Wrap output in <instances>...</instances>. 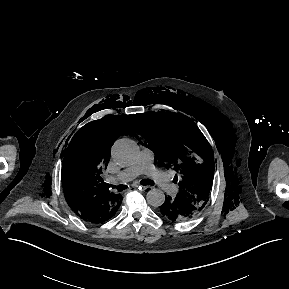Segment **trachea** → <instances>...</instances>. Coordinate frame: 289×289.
Returning <instances> with one entry per match:
<instances>
[{
	"instance_id": "3493384b",
	"label": "trachea",
	"mask_w": 289,
	"mask_h": 289,
	"mask_svg": "<svg viewBox=\"0 0 289 289\" xmlns=\"http://www.w3.org/2000/svg\"><path fill=\"white\" fill-rule=\"evenodd\" d=\"M140 184H141V185H144V186H146V185H151V186H153V185H154V182H153L152 180H150V179H143V180L140 181ZM104 186L116 188L119 192H121V191H123V190H125V189L127 188V186H126V185H123V184H121V185H119V186H113V185H110V184L105 183Z\"/></svg>"
}]
</instances>
